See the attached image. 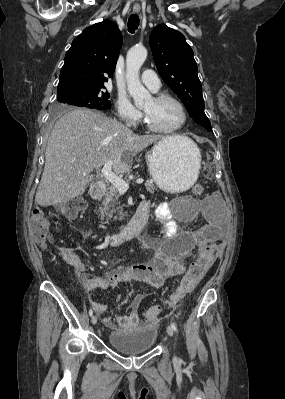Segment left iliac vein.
I'll use <instances>...</instances> for the list:
<instances>
[{"label":"left iliac vein","mask_w":285,"mask_h":399,"mask_svg":"<svg viewBox=\"0 0 285 399\" xmlns=\"http://www.w3.org/2000/svg\"><path fill=\"white\" fill-rule=\"evenodd\" d=\"M166 332L169 336H173V329L171 326H167L166 328Z\"/></svg>","instance_id":"obj_1"}]
</instances>
